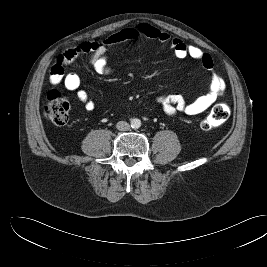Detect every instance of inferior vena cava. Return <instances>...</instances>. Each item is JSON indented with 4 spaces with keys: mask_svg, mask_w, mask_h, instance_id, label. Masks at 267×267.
Returning a JSON list of instances; mask_svg holds the SVG:
<instances>
[{
    "mask_svg": "<svg viewBox=\"0 0 267 267\" xmlns=\"http://www.w3.org/2000/svg\"><path fill=\"white\" fill-rule=\"evenodd\" d=\"M116 128L120 131H128L130 129V125L126 121H119L116 124Z\"/></svg>",
    "mask_w": 267,
    "mask_h": 267,
    "instance_id": "obj_1",
    "label": "inferior vena cava"
}]
</instances>
